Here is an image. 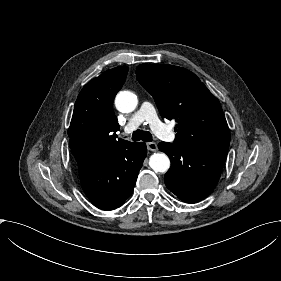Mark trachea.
I'll return each mask as SVG.
<instances>
[{
	"label": "trachea",
	"mask_w": 281,
	"mask_h": 281,
	"mask_svg": "<svg viewBox=\"0 0 281 281\" xmlns=\"http://www.w3.org/2000/svg\"><path fill=\"white\" fill-rule=\"evenodd\" d=\"M127 138V137H125ZM133 141H144V142H151L152 141V135L149 131L144 130H136L133 132L131 136Z\"/></svg>",
	"instance_id": "3493384b"
}]
</instances>
